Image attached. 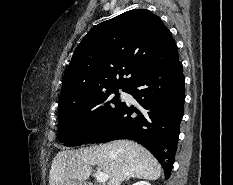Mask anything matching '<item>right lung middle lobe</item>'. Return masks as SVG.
<instances>
[{
  "instance_id": "obj_1",
  "label": "right lung middle lobe",
  "mask_w": 233,
  "mask_h": 185,
  "mask_svg": "<svg viewBox=\"0 0 233 185\" xmlns=\"http://www.w3.org/2000/svg\"><path fill=\"white\" fill-rule=\"evenodd\" d=\"M119 98L118 89H110L61 107L58 113L60 142L65 146L85 143L123 105Z\"/></svg>"
}]
</instances>
